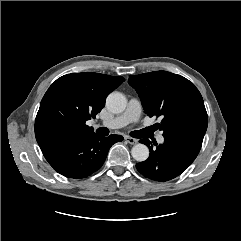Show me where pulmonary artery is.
I'll use <instances>...</instances> for the list:
<instances>
[{"label": "pulmonary artery", "instance_id": "e3ab8cb5", "mask_svg": "<svg viewBox=\"0 0 241 241\" xmlns=\"http://www.w3.org/2000/svg\"><path fill=\"white\" fill-rule=\"evenodd\" d=\"M141 115V104L137 99H131L128 103L126 110L107 121L103 122V125L109 128H121L126 126L131 122H136ZM157 142L162 144L164 142V137L162 134L157 135Z\"/></svg>", "mask_w": 241, "mask_h": 241}]
</instances>
